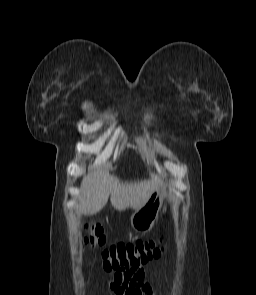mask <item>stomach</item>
<instances>
[{
  "instance_id": "obj_1",
  "label": "stomach",
  "mask_w": 256,
  "mask_h": 295,
  "mask_svg": "<svg viewBox=\"0 0 256 295\" xmlns=\"http://www.w3.org/2000/svg\"><path fill=\"white\" fill-rule=\"evenodd\" d=\"M167 195L165 183H161L150 196L148 201L137 209L130 217L132 228L137 231H148L154 225L161 209L163 201Z\"/></svg>"
}]
</instances>
